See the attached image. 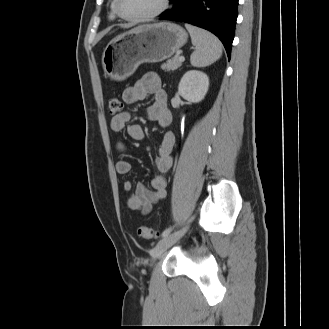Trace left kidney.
<instances>
[{"label":"left kidney","mask_w":329,"mask_h":329,"mask_svg":"<svg viewBox=\"0 0 329 329\" xmlns=\"http://www.w3.org/2000/svg\"><path fill=\"white\" fill-rule=\"evenodd\" d=\"M208 88V76L201 71L190 70L181 78L178 92L185 100L198 103L204 99Z\"/></svg>","instance_id":"5707ae66"}]
</instances>
